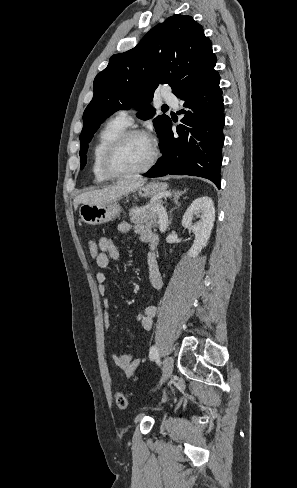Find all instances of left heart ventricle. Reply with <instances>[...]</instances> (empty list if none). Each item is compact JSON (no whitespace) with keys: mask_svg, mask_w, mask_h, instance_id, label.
<instances>
[{"mask_svg":"<svg viewBox=\"0 0 297 488\" xmlns=\"http://www.w3.org/2000/svg\"><path fill=\"white\" fill-rule=\"evenodd\" d=\"M152 155L151 141L142 136L127 140L112 159V167L120 173L131 172L142 168Z\"/></svg>","mask_w":297,"mask_h":488,"instance_id":"obj_1","label":"left heart ventricle"}]
</instances>
